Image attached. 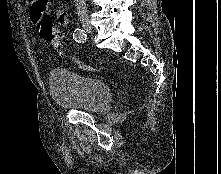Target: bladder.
I'll list each match as a JSON object with an SVG mask.
<instances>
[{"mask_svg": "<svg viewBox=\"0 0 221 174\" xmlns=\"http://www.w3.org/2000/svg\"><path fill=\"white\" fill-rule=\"evenodd\" d=\"M49 92L57 105L84 112L106 110L113 101L112 90L103 80L60 67L49 74Z\"/></svg>", "mask_w": 221, "mask_h": 174, "instance_id": "obj_1", "label": "bladder"}]
</instances>
